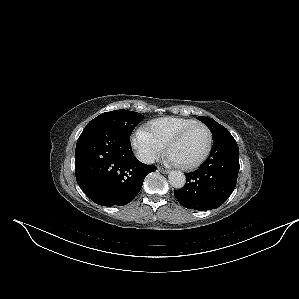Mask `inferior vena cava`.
Here are the masks:
<instances>
[{"label": "inferior vena cava", "instance_id": "1", "mask_svg": "<svg viewBox=\"0 0 299 299\" xmlns=\"http://www.w3.org/2000/svg\"><path fill=\"white\" fill-rule=\"evenodd\" d=\"M137 157L141 162H143L145 164H152L155 162L154 157L151 155H148V154L141 153V154H138Z\"/></svg>", "mask_w": 299, "mask_h": 299}]
</instances>
